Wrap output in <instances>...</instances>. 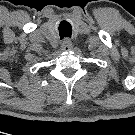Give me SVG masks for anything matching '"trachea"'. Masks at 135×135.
I'll list each match as a JSON object with an SVG mask.
<instances>
[{"label": "trachea", "instance_id": "obj_1", "mask_svg": "<svg viewBox=\"0 0 135 135\" xmlns=\"http://www.w3.org/2000/svg\"><path fill=\"white\" fill-rule=\"evenodd\" d=\"M59 34H60V39H63L65 37H71L72 34V28L71 25L66 22L62 21L59 25Z\"/></svg>", "mask_w": 135, "mask_h": 135}]
</instances>
